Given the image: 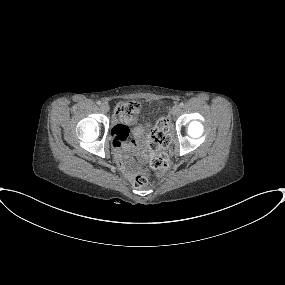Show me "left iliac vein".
<instances>
[{
    "instance_id": "1",
    "label": "left iliac vein",
    "mask_w": 285,
    "mask_h": 285,
    "mask_svg": "<svg viewBox=\"0 0 285 285\" xmlns=\"http://www.w3.org/2000/svg\"><path fill=\"white\" fill-rule=\"evenodd\" d=\"M180 112V107L178 105H174L171 109V113L173 115H177Z\"/></svg>"
}]
</instances>
